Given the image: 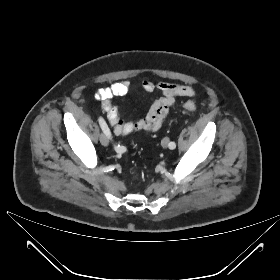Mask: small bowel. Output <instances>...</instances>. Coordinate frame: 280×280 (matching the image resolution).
<instances>
[{
    "label": "small bowel",
    "mask_w": 280,
    "mask_h": 280,
    "mask_svg": "<svg viewBox=\"0 0 280 280\" xmlns=\"http://www.w3.org/2000/svg\"><path fill=\"white\" fill-rule=\"evenodd\" d=\"M142 88L147 92L159 90L162 96L150 105L146 116L137 121L123 120L118 106L112 102L114 97L126 96L130 92L131 84L129 81H119L96 92L95 98L100 101L116 135L126 136L139 131H158L162 127L170 108L175 104L177 97L195 95V90L189 85L171 84L162 81L153 82L150 79L143 80Z\"/></svg>",
    "instance_id": "small-bowel-1"
}]
</instances>
